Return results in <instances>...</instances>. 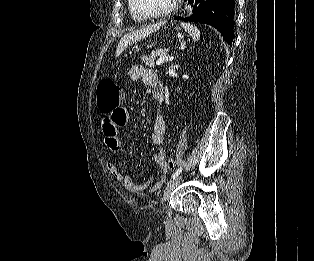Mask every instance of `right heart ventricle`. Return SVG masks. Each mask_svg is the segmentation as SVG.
I'll list each match as a JSON object with an SVG mask.
<instances>
[{
	"instance_id": "obj_1",
	"label": "right heart ventricle",
	"mask_w": 314,
	"mask_h": 261,
	"mask_svg": "<svg viewBox=\"0 0 314 261\" xmlns=\"http://www.w3.org/2000/svg\"><path fill=\"white\" fill-rule=\"evenodd\" d=\"M128 9L129 13L132 16L133 19L137 21H142L144 18L138 15V13L135 11L134 6H133V0H128Z\"/></svg>"
}]
</instances>
